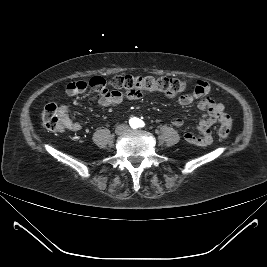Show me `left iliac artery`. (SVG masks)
Segmentation results:
<instances>
[{
	"label": "left iliac artery",
	"mask_w": 267,
	"mask_h": 267,
	"mask_svg": "<svg viewBox=\"0 0 267 267\" xmlns=\"http://www.w3.org/2000/svg\"><path fill=\"white\" fill-rule=\"evenodd\" d=\"M144 122L143 121H141V120H138L137 121V127H144Z\"/></svg>",
	"instance_id": "obj_1"
}]
</instances>
